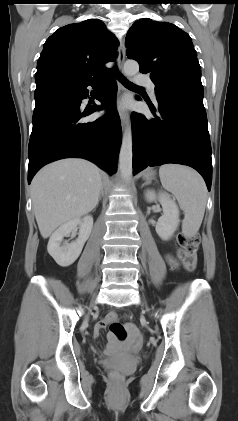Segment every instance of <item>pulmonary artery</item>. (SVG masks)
<instances>
[{
  "mask_svg": "<svg viewBox=\"0 0 238 421\" xmlns=\"http://www.w3.org/2000/svg\"><path fill=\"white\" fill-rule=\"evenodd\" d=\"M136 82L138 84L144 85L148 88L149 93L151 94V96L155 99V84L148 78L145 76H137L136 77Z\"/></svg>",
  "mask_w": 238,
  "mask_h": 421,
  "instance_id": "1",
  "label": "pulmonary artery"
}]
</instances>
